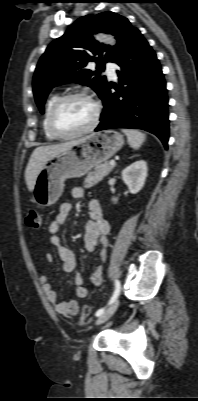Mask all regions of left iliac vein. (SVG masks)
<instances>
[{
  "label": "left iliac vein",
  "instance_id": "obj_1",
  "mask_svg": "<svg viewBox=\"0 0 198 401\" xmlns=\"http://www.w3.org/2000/svg\"><path fill=\"white\" fill-rule=\"evenodd\" d=\"M119 305L118 301H115L104 313L99 316V318L96 320V325H100L104 322H106L117 310Z\"/></svg>",
  "mask_w": 198,
  "mask_h": 401
}]
</instances>
